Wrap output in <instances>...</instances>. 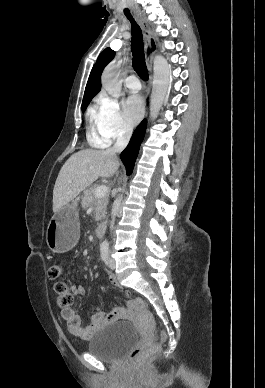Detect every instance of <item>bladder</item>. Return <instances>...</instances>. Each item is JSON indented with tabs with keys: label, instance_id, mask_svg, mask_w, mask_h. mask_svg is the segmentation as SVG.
<instances>
[{
	"label": "bladder",
	"instance_id": "bladder-1",
	"mask_svg": "<svg viewBox=\"0 0 265 388\" xmlns=\"http://www.w3.org/2000/svg\"><path fill=\"white\" fill-rule=\"evenodd\" d=\"M137 335L130 322L110 324L91 339L87 350L102 360L117 361L136 344Z\"/></svg>",
	"mask_w": 265,
	"mask_h": 388
}]
</instances>
